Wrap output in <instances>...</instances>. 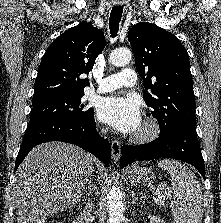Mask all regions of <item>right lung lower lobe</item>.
<instances>
[{"mask_svg":"<svg viewBox=\"0 0 221 223\" xmlns=\"http://www.w3.org/2000/svg\"><path fill=\"white\" fill-rule=\"evenodd\" d=\"M93 116L84 120L51 118L28 125L16 158L14 172L33 147L50 141L77 145L108 166L111 159V146L108 140L97 133Z\"/></svg>","mask_w":221,"mask_h":223,"instance_id":"right-lung-lower-lobe-1","label":"right lung lower lobe"}]
</instances>
